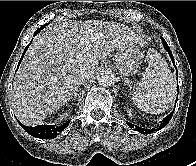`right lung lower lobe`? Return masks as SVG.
Returning a JSON list of instances; mask_svg holds the SVG:
<instances>
[{"label": "right lung lower lobe", "instance_id": "98d812e1", "mask_svg": "<svg viewBox=\"0 0 196 166\" xmlns=\"http://www.w3.org/2000/svg\"><path fill=\"white\" fill-rule=\"evenodd\" d=\"M42 28H39L35 33L34 36L37 35ZM30 45V44H29ZM28 45V46H29ZM28 46L25 48L23 55L18 63V67L21 63V60L28 48ZM17 67V68H18ZM70 121H66L64 122L62 125L60 126H55V125H38L35 127H28L25 126L23 124H21L20 122H18L20 124V126L30 135L37 137V138H42V139H52L57 137V135L62 132L66 127H68Z\"/></svg>", "mask_w": 196, "mask_h": 166}]
</instances>
